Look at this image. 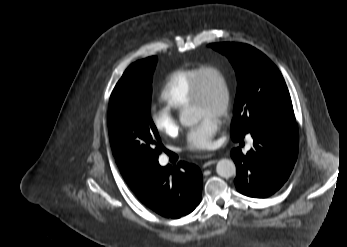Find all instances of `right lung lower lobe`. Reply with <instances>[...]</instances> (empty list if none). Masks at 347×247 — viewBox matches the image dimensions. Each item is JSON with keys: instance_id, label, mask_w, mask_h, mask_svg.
Masks as SVG:
<instances>
[{"instance_id": "1", "label": "right lung lower lobe", "mask_w": 347, "mask_h": 247, "mask_svg": "<svg viewBox=\"0 0 347 247\" xmlns=\"http://www.w3.org/2000/svg\"><path fill=\"white\" fill-rule=\"evenodd\" d=\"M138 199L167 218L191 213L201 201L202 174L194 164L179 162L178 167L155 163L146 169L137 187H131Z\"/></svg>"}]
</instances>
